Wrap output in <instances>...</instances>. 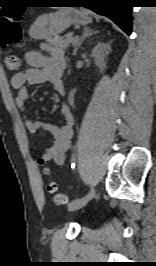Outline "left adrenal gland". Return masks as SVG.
Listing matches in <instances>:
<instances>
[{
  "instance_id": "left-adrenal-gland-1",
  "label": "left adrenal gland",
  "mask_w": 156,
  "mask_h": 266,
  "mask_svg": "<svg viewBox=\"0 0 156 266\" xmlns=\"http://www.w3.org/2000/svg\"><path fill=\"white\" fill-rule=\"evenodd\" d=\"M94 33H96V31H93V30H91V29L88 28V27H85V28L83 29V34H82L81 38L78 40V42H77L76 45H75V48H74V51H73V55H76V52H77L78 48L80 47V45L83 43V41H84L87 37L91 36V35L94 34Z\"/></svg>"
}]
</instances>
